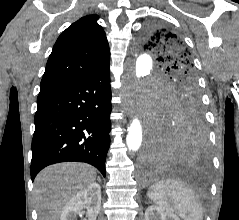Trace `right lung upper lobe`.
<instances>
[{
	"instance_id": "obj_1",
	"label": "right lung upper lobe",
	"mask_w": 239,
	"mask_h": 220,
	"mask_svg": "<svg viewBox=\"0 0 239 220\" xmlns=\"http://www.w3.org/2000/svg\"><path fill=\"white\" fill-rule=\"evenodd\" d=\"M98 18L82 17L59 36L47 61L40 91L79 81L109 64V46L104 30L96 22Z\"/></svg>"
}]
</instances>
